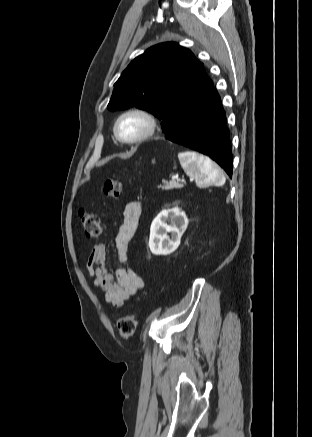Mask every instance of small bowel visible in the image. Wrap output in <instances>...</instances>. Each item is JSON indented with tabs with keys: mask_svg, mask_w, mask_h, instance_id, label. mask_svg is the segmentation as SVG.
Listing matches in <instances>:
<instances>
[{
	"mask_svg": "<svg viewBox=\"0 0 312 437\" xmlns=\"http://www.w3.org/2000/svg\"><path fill=\"white\" fill-rule=\"evenodd\" d=\"M141 209L140 201H130L125 205L123 220L114 240L118 259L122 263L128 260L129 243L137 230ZM106 259L105 244H96L87 257L86 270L94 285L104 292L105 301L119 308L144 287V281L131 268H119L115 273L109 272Z\"/></svg>",
	"mask_w": 312,
	"mask_h": 437,
	"instance_id": "1",
	"label": "small bowel"
}]
</instances>
